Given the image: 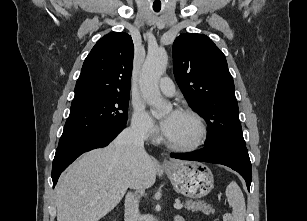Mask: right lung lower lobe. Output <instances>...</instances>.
<instances>
[{
    "mask_svg": "<svg viewBox=\"0 0 307 221\" xmlns=\"http://www.w3.org/2000/svg\"><path fill=\"white\" fill-rule=\"evenodd\" d=\"M114 128L59 144L52 164V180L55 186L60 174L82 153L107 146L124 128Z\"/></svg>",
    "mask_w": 307,
    "mask_h": 221,
    "instance_id": "obj_1",
    "label": "right lung lower lobe"
}]
</instances>
